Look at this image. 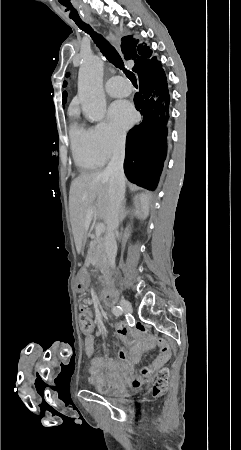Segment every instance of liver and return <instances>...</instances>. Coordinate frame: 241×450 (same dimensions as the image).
<instances>
[{"mask_svg": "<svg viewBox=\"0 0 241 450\" xmlns=\"http://www.w3.org/2000/svg\"><path fill=\"white\" fill-rule=\"evenodd\" d=\"M136 204L142 218L149 216V194L136 196ZM109 176L101 172H82L71 184L69 206L72 232L76 250L80 254L83 240L89 230L93 216L110 222Z\"/></svg>", "mask_w": 241, "mask_h": 450, "instance_id": "liver-1", "label": "liver"}]
</instances>
